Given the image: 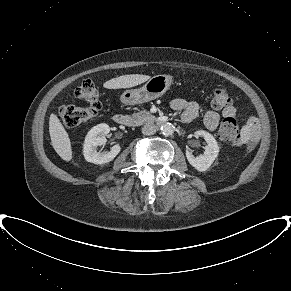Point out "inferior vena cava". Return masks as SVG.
<instances>
[{
  "instance_id": "obj_1",
  "label": "inferior vena cava",
  "mask_w": 291,
  "mask_h": 291,
  "mask_svg": "<svg viewBox=\"0 0 291 291\" xmlns=\"http://www.w3.org/2000/svg\"><path fill=\"white\" fill-rule=\"evenodd\" d=\"M144 135H153L156 133V127L153 123H146L142 128Z\"/></svg>"
}]
</instances>
